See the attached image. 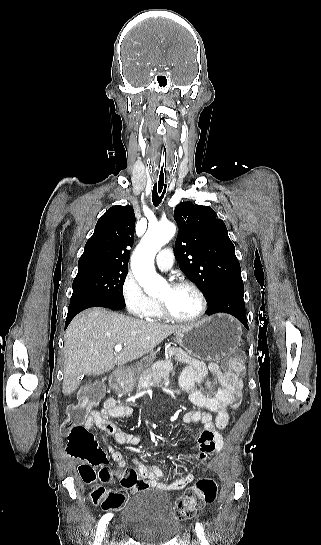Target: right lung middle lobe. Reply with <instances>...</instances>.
Listing matches in <instances>:
<instances>
[{
    "instance_id": "obj_1",
    "label": "right lung middle lobe",
    "mask_w": 321,
    "mask_h": 545,
    "mask_svg": "<svg viewBox=\"0 0 321 545\" xmlns=\"http://www.w3.org/2000/svg\"><path fill=\"white\" fill-rule=\"evenodd\" d=\"M128 268L89 266L78 268L70 303L79 299H99L124 304L123 284Z\"/></svg>"
}]
</instances>
